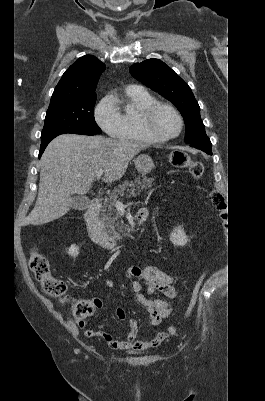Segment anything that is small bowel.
Instances as JSON below:
<instances>
[{"instance_id":"1","label":"small bowel","mask_w":265,"mask_h":401,"mask_svg":"<svg viewBox=\"0 0 265 401\" xmlns=\"http://www.w3.org/2000/svg\"><path fill=\"white\" fill-rule=\"evenodd\" d=\"M141 210L146 212L148 216L147 209ZM126 277L133 280L131 284L132 291L136 300L147 309V312L150 315L151 326L159 325L162 320L170 316L172 308L169 302L157 298H150L149 296L155 293H160L170 299L177 298L180 294V290L176 286L175 276L168 274L155 266H147L144 268L131 266L126 271ZM104 284L109 289L115 288L114 282L110 279H105ZM143 286L146 287V294L143 292ZM116 315L119 320H124L125 311L122 308H118L116 310ZM83 325V322L80 323V326ZM103 326H105V324H101L100 328ZM137 333L138 323L134 319L129 321V333L127 338L124 340H117L109 333L100 329H89L85 331L87 336L97 337L103 340L110 348L118 350L143 351L146 349L156 348L167 338L165 332H160L147 341H141L136 340Z\"/></svg>"}]
</instances>
